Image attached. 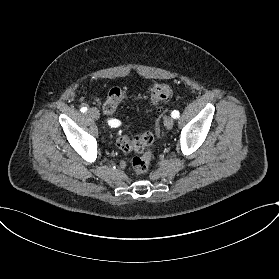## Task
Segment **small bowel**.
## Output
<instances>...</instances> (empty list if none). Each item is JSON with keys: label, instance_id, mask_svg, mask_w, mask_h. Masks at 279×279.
<instances>
[{"label": "small bowel", "instance_id": "1", "mask_svg": "<svg viewBox=\"0 0 279 279\" xmlns=\"http://www.w3.org/2000/svg\"><path fill=\"white\" fill-rule=\"evenodd\" d=\"M93 100L97 103L100 101L98 97H94Z\"/></svg>", "mask_w": 279, "mask_h": 279}]
</instances>
